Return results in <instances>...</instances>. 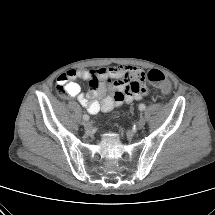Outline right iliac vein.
<instances>
[{"label": "right iliac vein", "mask_w": 215, "mask_h": 215, "mask_svg": "<svg viewBox=\"0 0 215 215\" xmlns=\"http://www.w3.org/2000/svg\"><path fill=\"white\" fill-rule=\"evenodd\" d=\"M83 126L88 131L92 129V124L88 120L83 122Z\"/></svg>", "instance_id": "1"}]
</instances>
